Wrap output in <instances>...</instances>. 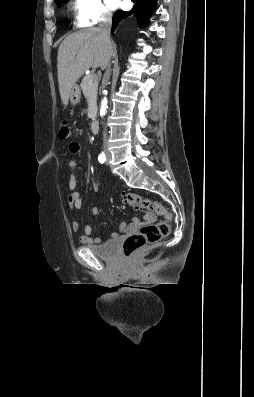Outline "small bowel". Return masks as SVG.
<instances>
[{
	"label": "small bowel",
	"mask_w": 254,
	"mask_h": 397,
	"mask_svg": "<svg viewBox=\"0 0 254 397\" xmlns=\"http://www.w3.org/2000/svg\"><path fill=\"white\" fill-rule=\"evenodd\" d=\"M69 151L72 154H79L81 152L80 144L78 142H76V141L71 142L69 144ZM69 165H70L71 168H75L76 162L72 160V161H70ZM68 188L71 191V193L68 196V203H69L70 207L72 209H75V210L80 209L82 207V198L80 196V193L76 190V188H77V178H76L75 175H71V177L69 178ZM91 212H92L93 215L97 216V215H99L100 210L97 207H93L91 209ZM146 218L148 220H151L152 216L147 215ZM138 223H139V221L136 218L133 219V223H132L131 227H127L125 225V223H121L120 227H119V232H113L112 235H111L112 238H117L120 235V233L128 230L129 228L135 227L136 225H138ZM71 227H72V229L75 232H77L79 230V228H80V224H79V222L77 220L74 219L71 222ZM91 233H92V226L88 224V225H86L84 227L83 234H81L79 236V241L82 244H87V245H91V244H94V243H99L100 239L92 237Z\"/></svg>",
	"instance_id": "c3829d8e"
}]
</instances>
